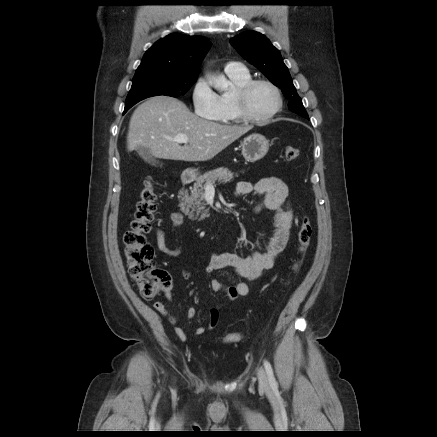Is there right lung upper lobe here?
<instances>
[{
  "label": "right lung upper lobe",
  "mask_w": 437,
  "mask_h": 437,
  "mask_svg": "<svg viewBox=\"0 0 437 437\" xmlns=\"http://www.w3.org/2000/svg\"><path fill=\"white\" fill-rule=\"evenodd\" d=\"M210 45L202 36L170 34L146 51L136 72L158 69L176 76H197Z\"/></svg>",
  "instance_id": "cb5924a9"
}]
</instances>
